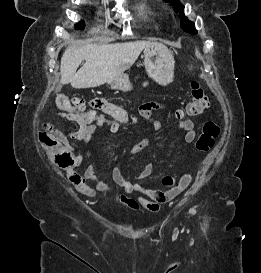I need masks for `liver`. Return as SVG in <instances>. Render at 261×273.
<instances>
[{
  "label": "liver",
  "instance_id": "1",
  "mask_svg": "<svg viewBox=\"0 0 261 273\" xmlns=\"http://www.w3.org/2000/svg\"><path fill=\"white\" fill-rule=\"evenodd\" d=\"M150 41L70 46L61 57V83L75 89L98 87L129 69ZM85 61L77 71L79 65ZM77 71V72H76Z\"/></svg>",
  "mask_w": 261,
  "mask_h": 273
}]
</instances>
